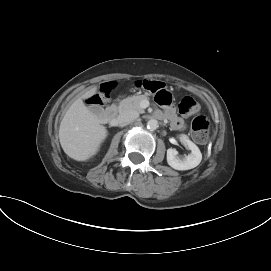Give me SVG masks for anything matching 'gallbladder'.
I'll return each instance as SVG.
<instances>
[{
	"label": "gallbladder",
	"mask_w": 271,
	"mask_h": 271,
	"mask_svg": "<svg viewBox=\"0 0 271 271\" xmlns=\"http://www.w3.org/2000/svg\"><path fill=\"white\" fill-rule=\"evenodd\" d=\"M89 110L96 115L99 119L104 118V110L99 106H91Z\"/></svg>",
	"instance_id": "gallbladder-1"
}]
</instances>
